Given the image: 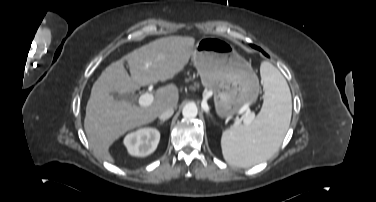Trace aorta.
Wrapping results in <instances>:
<instances>
[{"instance_id":"aorta-1","label":"aorta","mask_w":376,"mask_h":202,"mask_svg":"<svg viewBox=\"0 0 376 202\" xmlns=\"http://www.w3.org/2000/svg\"><path fill=\"white\" fill-rule=\"evenodd\" d=\"M198 108L194 103H188L183 107L182 115L186 119H193L197 116Z\"/></svg>"}]
</instances>
